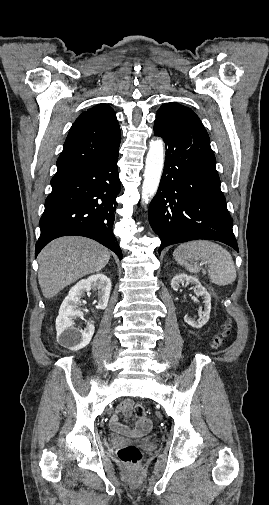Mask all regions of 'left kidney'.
<instances>
[{
    "mask_svg": "<svg viewBox=\"0 0 269 505\" xmlns=\"http://www.w3.org/2000/svg\"><path fill=\"white\" fill-rule=\"evenodd\" d=\"M186 282L187 284L191 283L194 285V293L197 296H201L203 298L204 310L200 311L201 315L198 320L191 318L188 314L185 315L184 321L194 327L201 328L203 327L209 320L210 311H211V296L207 292L206 288L201 285L199 280L194 276H188L186 274H178L175 275L171 281V288L174 291H178L180 284Z\"/></svg>",
    "mask_w": 269,
    "mask_h": 505,
    "instance_id": "5707ae66",
    "label": "left kidney"
}]
</instances>
